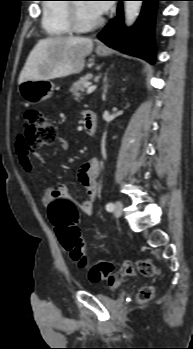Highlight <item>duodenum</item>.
Returning a JSON list of instances; mask_svg holds the SVG:
<instances>
[{"label":"duodenum","instance_id":"1","mask_svg":"<svg viewBox=\"0 0 193 349\" xmlns=\"http://www.w3.org/2000/svg\"><path fill=\"white\" fill-rule=\"evenodd\" d=\"M97 127L96 115L93 112L85 113V131L87 135L94 136Z\"/></svg>","mask_w":193,"mask_h":349}]
</instances>
